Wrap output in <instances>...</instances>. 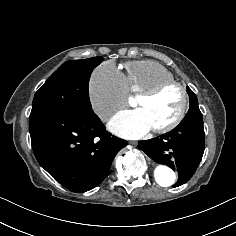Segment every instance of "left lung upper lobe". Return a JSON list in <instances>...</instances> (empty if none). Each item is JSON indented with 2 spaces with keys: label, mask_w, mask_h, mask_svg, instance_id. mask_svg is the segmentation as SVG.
<instances>
[{
  "label": "left lung upper lobe",
  "mask_w": 236,
  "mask_h": 236,
  "mask_svg": "<svg viewBox=\"0 0 236 236\" xmlns=\"http://www.w3.org/2000/svg\"><path fill=\"white\" fill-rule=\"evenodd\" d=\"M187 92L189 93L190 108L185 115V118L202 117V113L198 107V100L195 93L189 87H187Z\"/></svg>",
  "instance_id": "1"
}]
</instances>
